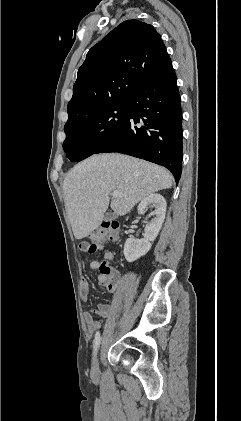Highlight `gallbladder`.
Returning <instances> with one entry per match:
<instances>
[{
	"label": "gallbladder",
	"mask_w": 241,
	"mask_h": 421,
	"mask_svg": "<svg viewBox=\"0 0 241 421\" xmlns=\"http://www.w3.org/2000/svg\"><path fill=\"white\" fill-rule=\"evenodd\" d=\"M116 217V215L112 212H107L104 216L105 220H113Z\"/></svg>",
	"instance_id": "gallbladder-1"
}]
</instances>
